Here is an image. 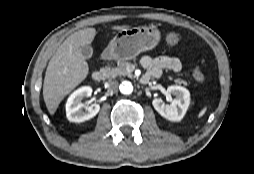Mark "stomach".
<instances>
[{
  "mask_svg": "<svg viewBox=\"0 0 254 174\" xmlns=\"http://www.w3.org/2000/svg\"><path fill=\"white\" fill-rule=\"evenodd\" d=\"M160 38V31L155 26L123 29L109 42L103 57L108 60H130L140 52L156 47Z\"/></svg>",
  "mask_w": 254,
  "mask_h": 174,
  "instance_id": "stomach-1",
  "label": "stomach"
}]
</instances>
